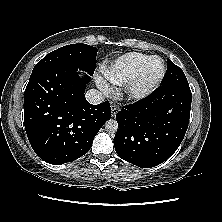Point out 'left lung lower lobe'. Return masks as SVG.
<instances>
[{
    "label": "left lung lower lobe",
    "instance_id": "1",
    "mask_svg": "<svg viewBox=\"0 0 222 222\" xmlns=\"http://www.w3.org/2000/svg\"><path fill=\"white\" fill-rule=\"evenodd\" d=\"M191 100L189 84H169L126 105L116 115L119 129L114 146L117 154L142 168L167 160L185 136Z\"/></svg>",
    "mask_w": 222,
    "mask_h": 222
}]
</instances>
